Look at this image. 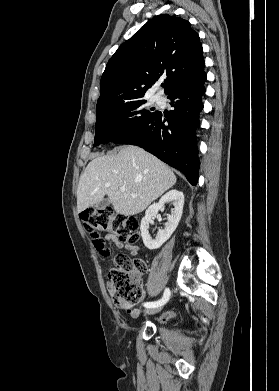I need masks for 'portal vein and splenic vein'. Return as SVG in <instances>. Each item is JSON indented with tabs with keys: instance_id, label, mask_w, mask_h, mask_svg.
Returning a JSON list of instances; mask_svg holds the SVG:
<instances>
[{
	"instance_id": "1",
	"label": "portal vein and splenic vein",
	"mask_w": 279,
	"mask_h": 391,
	"mask_svg": "<svg viewBox=\"0 0 279 391\" xmlns=\"http://www.w3.org/2000/svg\"><path fill=\"white\" fill-rule=\"evenodd\" d=\"M125 190H126L125 187H120V191L125 192ZM132 196H133V197H136L135 194H132Z\"/></svg>"
}]
</instances>
